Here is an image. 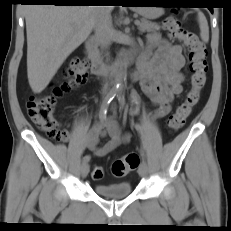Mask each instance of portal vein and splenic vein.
I'll return each mask as SVG.
<instances>
[{
	"label": "portal vein and splenic vein",
	"instance_id": "18ae733b",
	"mask_svg": "<svg viewBox=\"0 0 231 231\" xmlns=\"http://www.w3.org/2000/svg\"><path fill=\"white\" fill-rule=\"evenodd\" d=\"M135 24H136V25H139V24H140V22H139V21H135Z\"/></svg>",
	"mask_w": 231,
	"mask_h": 231
}]
</instances>
